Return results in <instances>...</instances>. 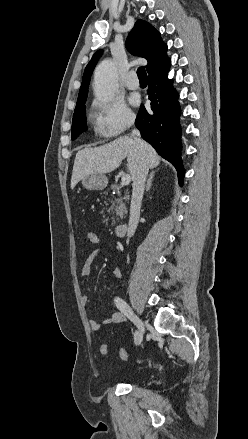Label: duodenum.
Listing matches in <instances>:
<instances>
[{
	"label": "duodenum",
	"instance_id": "duodenum-1",
	"mask_svg": "<svg viewBox=\"0 0 248 439\" xmlns=\"http://www.w3.org/2000/svg\"><path fill=\"white\" fill-rule=\"evenodd\" d=\"M126 230H127V224L126 223H118L115 226V234L117 236H122L123 234H125Z\"/></svg>",
	"mask_w": 248,
	"mask_h": 439
}]
</instances>
